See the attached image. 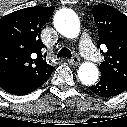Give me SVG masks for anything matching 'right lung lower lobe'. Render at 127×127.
<instances>
[{
    "instance_id": "98d812e1",
    "label": "right lung lower lobe",
    "mask_w": 127,
    "mask_h": 127,
    "mask_svg": "<svg viewBox=\"0 0 127 127\" xmlns=\"http://www.w3.org/2000/svg\"><path fill=\"white\" fill-rule=\"evenodd\" d=\"M53 70L41 76L27 74L7 76L0 79V87L15 95H26L44 84Z\"/></svg>"
}]
</instances>
